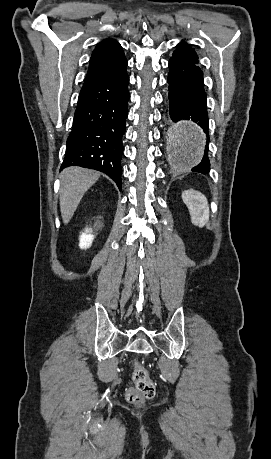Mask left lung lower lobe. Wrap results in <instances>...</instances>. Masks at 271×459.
Returning <instances> with one entry per match:
<instances>
[{"label":"left lung lower lobe","instance_id":"obj_1","mask_svg":"<svg viewBox=\"0 0 271 459\" xmlns=\"http://www.w3.org/2000/svg\"><path fill=\"white\" fill-rule=\"evenodd\" d=\"M169 110L174 122L182 118L191 119L208 136V115L206 106V93L204 91L203 72L198 64L179 60H169ZM207 139V143H208ZM208 148L200 164L192 168L194 172L207 174L210 162L207 157Z\"/></svg>","mask_w":271,"mask_h":459}]
</instances>
